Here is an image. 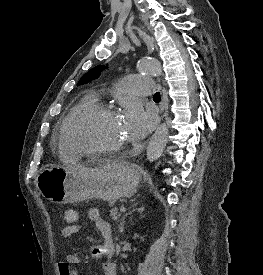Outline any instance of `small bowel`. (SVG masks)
Segmentation results:
<instances>
[{
	"label": "small bowel",
	"mask_w": 263,
	"mask_h": 275,
	"mask_svg": "<svg viewBox=\"0 0 263 275\" xmlns=\"http://www.w3.org/2000/svg\"><path fill=\"white\" fill-rule=\"evenodd\" d=\"M87 217L92 221L97 230L101 233L103 242L92 249L91 256L95 260L105 259L103 263V275H117L116 264L112 261L114 255V243L112 239L111 225L101 217L100 211L97 208H91L87 212ZM81 229L78 223L68 224L62 230V236L69 238ZM80 263V258L75 253H69L65 260L61 261L59 265V272L61 273L62 264L67 267L65 275H78L76 266Z\"/></svg>",
	"instance_id": "1"
}]
</instances>
